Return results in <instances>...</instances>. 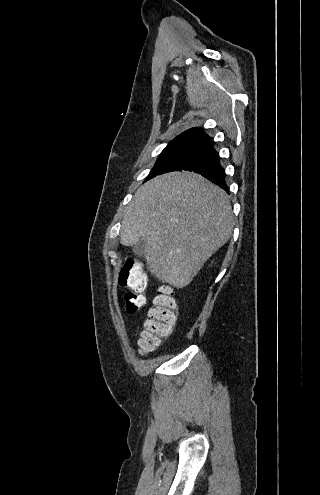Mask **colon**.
Returning <instances> with one entry per match:
<instances>
[{"instance_id":"5ec220e1","label":"colon","mask_w":320,"mask_h":495,"mask_svg":"<svg viewBox=\"0 0 320 495\" xmlns=\"http://www.w3.org/2000/svg\"><path fill=\"white\" fill-rule=\"evenodd\" d=\"M119 283L129 291L124 295L126 310L130 313L140 310L145 303L143 292L148 285V276L141 265L127 259L119 274ZM177 303L168 286H161L148 311L144 331L139 339V349L146 353L158 347L162 338L168 336L176 322Z\"/></svg>"}]
</instances>
